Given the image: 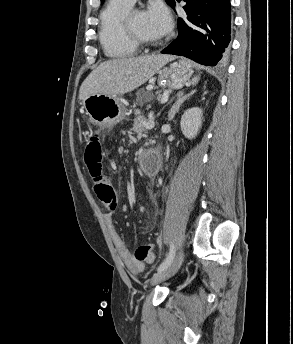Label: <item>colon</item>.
Wrapping results in <instances>:
<instances>
[{"instance_id": "1", "label": "colon", "mask_w": 293, "mask_h": 344, "mask_svg": "<svg viewBox=\"0 0 293 344\" xmlns=\"http://www.w3.org/2000/svg\"><path fill=\"white\" fill-rule=\"evenodd\" d=\"M103 147L98 134L91 135L86 151V162L91 169L94 180V191L98 199L108 210H115L118 205V195L111 181L101 174ZM134 257L139 262L153 263L155 253L152 244L139 245L134 252Z\"/></svg>"}]
</instances>
